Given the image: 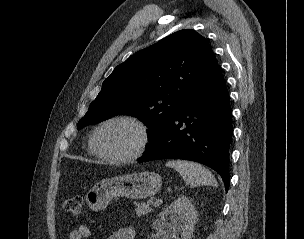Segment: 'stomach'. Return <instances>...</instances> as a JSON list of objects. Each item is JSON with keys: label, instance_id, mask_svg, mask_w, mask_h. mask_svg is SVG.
Returning a JSON list of instances; mask_svg holds the SVG:
<instances>
[{"label": "stomach", "instance_id": "0dacf381", "mask_svg": "<svg viewBox=\"0 0 304 239\" xmlns=\"http://www.w3.org/2000/svg\"><path fill=\"white\" fill-rule=\"evenodd\" d=\"M161 186L159 174L152 171L135 172L98 182L87 193L86 201L92 210L100 211L115 197L143 199L156 194Z\"/></svg>", "mask_w": 304, "mask_h": 239}]
</instances>
